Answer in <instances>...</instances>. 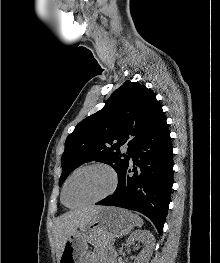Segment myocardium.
<instances>
[{"label":"myocardium","instance_id":"obj_1","mask_svg":"<svg viewBox=\"0 0 220 263\" xmlns=\"http://www.w3.org/2000/svg\"><path fill=\"white\" fill-rule=\"evenodd\" d=\"M89 168H101V169H104L105 171H107L108 174L110 175V178H111L110 187L108 188V190L105 193H103L102 195H100L96 198H93L91 200L85 201V202L80 203V204L68 205L65 201V195H66V190H67V187L69 185V182L77 173H79L80 171H83L85 169H89ZM118 183H119L118 174L115 171V169L113 167H111L110 165H108L106 163H102V162H93V163L85 164V165L77 168L76 170H74L69 175V177L66 179L64 186H63V189H62V202L65 206H67L69 208H79V207H83L86 205L98 203V202L106 199L107 197H109L111 194H113L115 192V190L117 189Z\"/></svg>","mask_w":220,"mask_h":263}]
</instances>
